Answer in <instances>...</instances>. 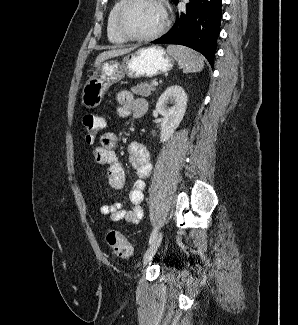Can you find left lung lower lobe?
<instances>
[{"label":"left lung lower lobe","mask_w":298,"mask_h":325,"mask_svg":"<svg viewBox=\"0 0 298 325\" xmlns=\"http://www.w3.org/2000/svg\"><path fill=\"white\" fill-rule=\"evenodd\" d=\"M178 3V0L174 2ZM222 0H192L186 12L177 15L175 25L155 44H180L202 53L211 66L220 32Z\"/></svg>","instance_id":"left-lung-lower-lobe-1"}]
</instances>
